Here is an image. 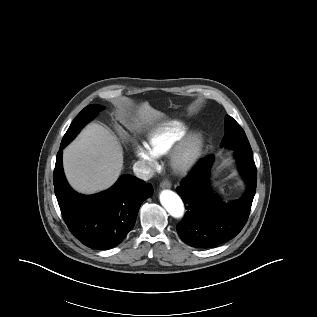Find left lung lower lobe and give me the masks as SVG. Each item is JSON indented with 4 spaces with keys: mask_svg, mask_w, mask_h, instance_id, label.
I'll return each mask as SVG.
<instances>
[{
    "mask_svg": "<svg viewBox=\"0 0 317 317\" xmlns=\"http://www.w3.org/2000/svg\"><path fill=\"white\" fill-rule=\"evenodd\" d=\"M235 157L246 185L238 200L224 203L210 192L208 175L213 155L201 159L177 188L187 204L177 232L189 246L209 248L227 242L246 224L256 192L257 171L252 154L235 151Z\"/></svg>",
    "mask_w": 317,
    "mask_h": 317,
    "instance_id": "left-lung-lower-lobe-1",
    "label": "left lung lower lobe"
}]
</instances>
